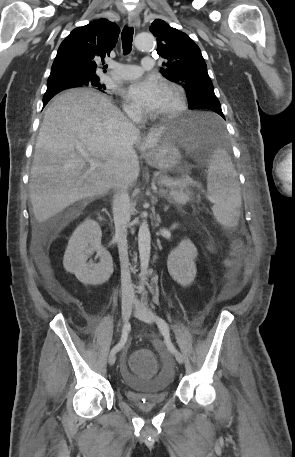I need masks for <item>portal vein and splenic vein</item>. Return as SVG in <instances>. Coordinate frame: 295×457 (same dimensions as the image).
<instances>
[{
    "label": "portal vein and splenic vein",
    "instance_id": "1",
    "mask_svg": "<svg viewBox=\"0 0 295 457\" xmlns=\"http://www.w3.org/2000/svg\"><path fill=\"white\" fill-rule=\"evenodd\" d=\"M84 157L90 163V166L92 168H96V167H101L102 166L101 161L93 159V158H90L87 155H84ZM192 182H193L192 178L190 176H186L185 178L178 179V180L165 178V179L161 180L160 184L164 185V186H167V187H170V186H175V185H186V184L192 183Z\"/></svg>",
    "mask_w": 295,
    "mask_h": 457
}]
</instances>
